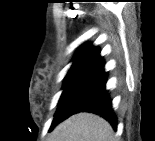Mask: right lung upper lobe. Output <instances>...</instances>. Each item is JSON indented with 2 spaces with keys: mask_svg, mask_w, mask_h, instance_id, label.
I'll return each instance as SVG.
<instances>
[{
  "mask_svg": "<svg viewBox=\"0 0 155 141\" xmlns=\"http://www.w3.org/2000/svg\"><path fill=\"white\" fill-rule=\"evenodd\" d=\"M73 60L74 62L69 72L90 71L95 73L104 65V60L100 57L98 47H93L91 44H85L80 47Z\"/></svg>",
  "mask_w": 155,
  "mask_h": 141,
  "instance_id": "obj_1",
  "label": "right lung upper lobe"
}]
</instances>
